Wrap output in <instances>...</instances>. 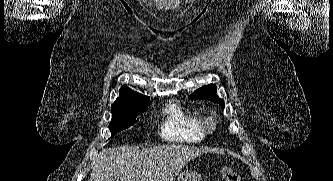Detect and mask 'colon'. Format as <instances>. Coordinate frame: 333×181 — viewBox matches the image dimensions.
Masks as SVG:
<instances>
[{
  "mask_svg": "<svg viewBox=\"0 0 333 181\" xmlns=\"http://www.w3.org/2000/svg\"><path fill=\"white\" fill-rule=\"evenodd\" d=\"M221 175L223 181H240L239 175L230 166H225L222 168Z\"/></svg>",
  "mask_w": 333,
  "mask_h": 181,
  "instance_id": "colon-1",
  "label": "colon"
}]
</instances>
